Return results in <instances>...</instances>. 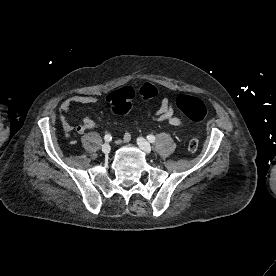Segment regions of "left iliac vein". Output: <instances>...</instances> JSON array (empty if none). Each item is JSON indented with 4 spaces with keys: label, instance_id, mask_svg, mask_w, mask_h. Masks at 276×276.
Listing matches in <instances>:
<instances>
[{
    "label": "left iliac vein",
    "instance_id": "1",
    "mask_svg": "<svg viewBox=\"0 0 276 276\" xmlns=\"http://www.w3.org/2000/svg\"><path fill=\"white\" fill-rule=\"evenodd\" d=\"M137 143L139 145V147L147 154H149L151 152V145L149 144V142L147 140H145L142 137H139L137 139Z\"/></svg>",
    "mask_w": 276,
    "mask_h": 276
}]
</instances>
